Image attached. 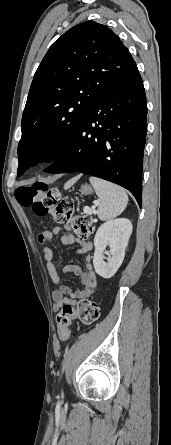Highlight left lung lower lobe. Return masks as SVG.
<instances>
[{
    "label": "left lung lower lobe",
    "mask_w": 171,
    "mask_h": 445,
    "mask_svg": "<svg viewBox=\"0 0 171 445\" xmlns=\"http://www.w3.org/2000/svg\"><path fill=\"white\" fill-rule=\"evenodd\" d=\"M147 103L137 67L88 108L65 148L44 171L80 172L128 189L142 205Z\"/></svg>",
    "instance_id": "left-lung-lower-lobe-1"
}]
</instances>
